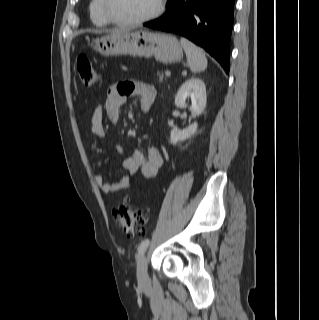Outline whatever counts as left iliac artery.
Instances as JSON below:
<instances>
[{"mask_svg": "<svg viewBox=\"0 0 319 320\" xmlns=\"http://www.w3.org/2000/svg\"><path fill=\"white\" fill-rule=\"evenodd\" d=\"M149 243H150V240H149L148 238L145 239V240H143V241L140 243V245H139V247H138V253H139V255H143V254L145 253L146 249H147L148 246H149Z\"/></svg>", "mask_w": 319, "mask_h": 320, "instance_id": "left-iliac-artery-1", "label": "left iliac artery"}]
</instances>
